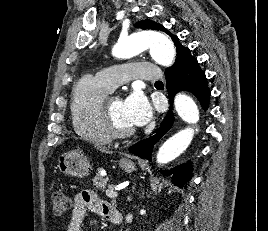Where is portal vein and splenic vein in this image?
I'll return each mask as SVG.
<instances>
[{"mask_svg": "<svg viewBox=\"0 0 268 231\" xmlns=\"http://www.w3.org/2000/svg\"><path fill=\"white\" fill-rule=\"evenodd\" d=\"M117 189H114L113 187H110L109 189L106 190V195L109 198H116L118 197V193L116 192Z\"/></svg>", "mask_w": 268, "mask_h": 231, "instance_id": "1", "label": "portal vein and splenic vein"}]
</instances>
